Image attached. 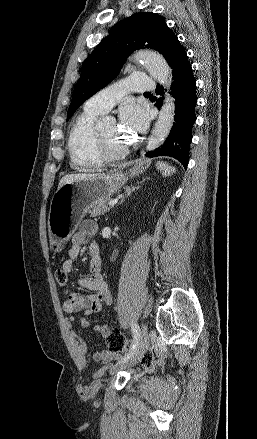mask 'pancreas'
Segmentation results:
<instances>
[{"instance_id": "1", "label": "pancreas", "mask_w": 257, "mask_h": 439, "mask_svg": "<svg viewBox=\"0 0 257 439\" xmlns=\"http://www.w3.org/2000/svg\"><path fill=\"white\" fill-rule=\"evenodd\" d=\"M109 200H110L109 198H104L95 201L93 204L90 205V207L87 209L86 212H88L92 217L105 214L110 210V208H112V206L111 207L107 206V202Z\"/></svg>"}]
</instances>
